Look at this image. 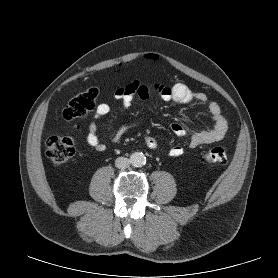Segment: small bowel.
I'll return each instance as SVG.
<instances>
[{
    "instance_id": "1",
    "label": "small bowel",
    "mask_w": 278,
    "mask_h": 278,
    "mask_svg": "<svg viewBox=\"0 0 278 278\" xmlns=\"http://www.w3.org/2000/svg\"><path fill=\"white\" fill-rule=\"evenodd\" d=\"M152 93H156L159 98L165 102H174L180 105L198 102L207 105V109L213 120V126L193 133L190 137L191 147H198L200 145L220 141L225 136L228 130V122L222 112L221 106L217 102H208L207 95L204 92H194L184 83H175L172 86L163 84L146 85L135 80L123 87L117 88L114 97L122 103L124 108H128L135 98L147 101L150 99ZM110 110L111 107L108 103L98 104L88 127L86 141L97 151H104L106 146L98 137L96 121L107 115ZM149 110H151V107H149ZM142 121L143 118H138L132 122L121 125L113 135L112 141L114 143L119 142L129 130L138 126ZM170 128L176 136H184L187 133L186 127L182 123L175 122L171 124ZM144 141L149 149L157 150L160 148L158 140L150 135H146ZM166 151L171 157H180L184 153V149L180 145L169 146Z\"/></svg>"
}]
</instances>
